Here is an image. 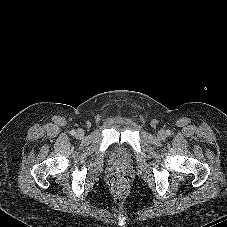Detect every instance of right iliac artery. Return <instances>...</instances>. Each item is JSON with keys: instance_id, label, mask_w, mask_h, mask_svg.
Instances as JSON below:
<instances>
[{"instance_id": "right-iliac-artery-1", "label": "right iliac artery", "mask_w": 227, "mask_h": 227, "mask_svg": "<svg viewBox=\"0 0 227 227\" xmlns=\"http://www.w3.org/2000/svg\"><path fill=\"white\" fill-rule=\"evenodd\" d=\"M75 133H76L75 130H72V131H71V134H72V135H75Z\"/></svg>"}]
</instances>
